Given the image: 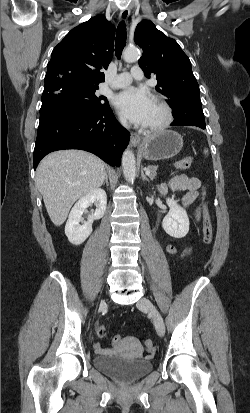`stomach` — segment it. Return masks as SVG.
I'll return each instance as SVG.
<instances>
[{
	"instance_id": "stomach-1",
	"label": "stomach",
	"mask_w": 250,
	"mask_h": 413,
	"mask_svg": "<svg viewBox=\"0 0 250 413\" xmlns=\"http://www.w3.org/2000/svg\"><path fill=\"white\" fill-rule=\"evenodd\" d=\"M183 147L182 136L172 130H164L145 137L139 147V153L147 160H163L176 156Z\"/></svg>"
}]
</instances>
